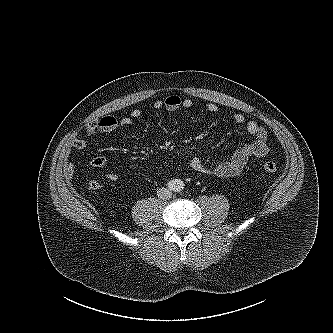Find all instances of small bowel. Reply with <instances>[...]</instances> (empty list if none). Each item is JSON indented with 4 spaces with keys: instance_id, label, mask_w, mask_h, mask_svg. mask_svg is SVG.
I'll list each match as a JSON object with an SVG mask.
<instances>
[{
    "instance_id": "small-bowel-1",
    "label": "small bowel",
    "mask_w": 333,
    "mask_h": 333,
    "mask_svg": "<svg viewBox=\"0 0 333 333\" xmlns=\"http://www.w3.org/2000/svg\"><path fill=\"white\" fill-rule=\"evenodd\" d=\"M193 106L194 103L191 99H184L178 95H170L164 100L155 101L153 104L156 110L164 108L169 112H175L180 109L189 110ZM206 109L211 113L219 112V107L215 103H208ZM141 115L140 109H134L129 116L125 117L105 116L93 119L86 125V138H75L71 145L78 150L84 149L89 144V140L96 134L112 132L120 127L131 125ZM232 118L236 124L243 126L254 139L237 148L228 160L216 164H208L200 156H194L189 162V167L192 171L220 178L233 177L242 172L251 158H262L268 154L269 146L266 129L256 121L246 119L240 112L234 113ZM91 165L99 169L108 167L107 161L103 157H94L91 160ZM136 168L137 166L135 165L130 166L131 170ZM75 170L76 166L74 163H68L64 167V171L68 176H73ZM106 178L110 181H115L118 179V175L113 171H108Z\"/></svg>"
}]
</instances>
